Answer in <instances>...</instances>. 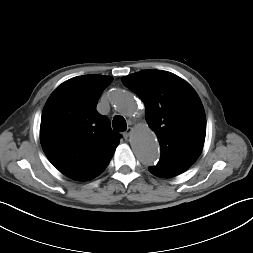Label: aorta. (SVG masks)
I'll list each match as a JSON object with an SVG mask.
<instances>
[{
  "label": "aorta",
  "instance_id": "obj_1",
  "mask_svg": "<svg viewBox=\"0 0 253 253\" xmlns=\"http://www.w3.org/2000/svg\"><path fill=\"white\" fill-rule=\"evenodd\" d=\"M114 109L125 116H133L137 105L133 94L116 89L110 93ZM133 151L144 165H152L160 155L159 144L150 128L146 125L136 127L132 138Z\"/></svg>",
  "mask_w": 253,
  "mask_h": 253
}]
</instances>
